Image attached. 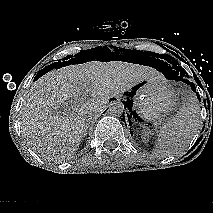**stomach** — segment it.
<instances>
[{"instance_id":"0dacf381","label":"stomach","mask_w":213,"mask_h":213,"mask_svg":"<svg viewBox=\"0 0 213 213\" xmlns=\"http://www.w3.org/2000/svg\"><path fill=\"white\" fill-rule=\"evenodd\" d=\"M137 115L146 121L158 122L179 106L175 88L164 77H151L133 86Z\"/></svg>"}]
</instances>
